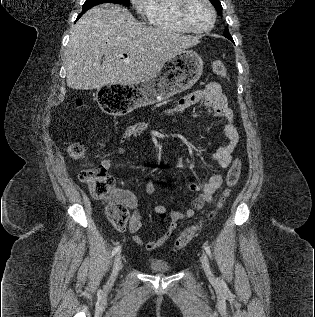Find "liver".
Masks as SVG:
<instances>
[{
  "instance_id": "6515ba94",
  "label": "liver",
  "mask_w": 315,
  "mask_h": 317,
  "mask_svg": "<svg viewBox=\"0 0 315 317\" xmlns=\"http://www.w3.org/2000/svg\"><path fill=\"white\" fill-rule=\"evenodd\" d=\"M199 42L198 37L147 27L121 6L102 4L72 28L66 83L77 90L132 85L154 77L168 60Z\"/></svg>"
}]
</instances>
